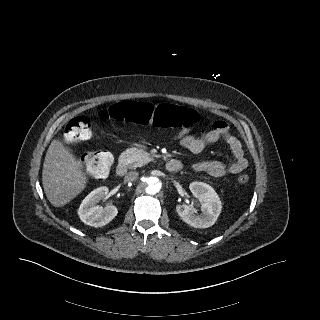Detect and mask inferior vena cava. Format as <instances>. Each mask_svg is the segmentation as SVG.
<instances>
[{
  "label": "inferior vena cava",
  "mask_w": 320,
  "mask_h": 320,
  "mask_svg": "<svg viewBox=\"0 0 320 320\" xmlns=\"http://www.w3.org/2000/svg\"><path fill=\"white\" fill-rule=\"evenodd\" d=\"M138 176H139V174L136 171L128 172L124 177V181L125 182H132V181L136 180L138 178Z\"/></svg>",
  "instance_id": "602c4592"
}]
</instances>
